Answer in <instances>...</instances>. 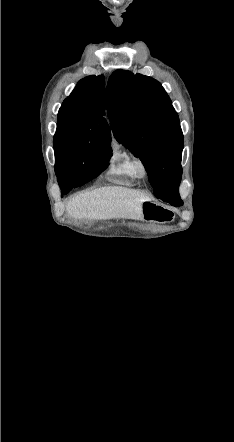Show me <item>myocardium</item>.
<instances>
[{"instance_id":"myocardium-1","label":"myocardium","mask_w":234,"mask_h":442,"mask_svg":"<svg viewBox=\"0 0 234 442\" xmlns=\"http://www.w3.org/2000/svg\"><path fill=\"white\" fill-rule=\"evenodd\" d=\"M134 168L139 178H146L149 174V167L143 158L134 159Z\"/></svg>"}]
</instances>
